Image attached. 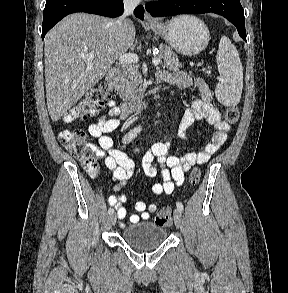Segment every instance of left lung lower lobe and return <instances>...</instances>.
<instances>
[{"mask_svg":"<svg viewBox=\"0 0 288 293\" xmlns=\"http://www.w3.org/2000/svg\"><path fill=\"white\" fill-rule=\"evenodd\" d=\"M145 9L153 17L192 13H216L233 23L246 41L245 17L240 0H160L149 2Z\"/></svg>","mask_w":288,"mask_h":293,"instance_id":"left-lung-lower-lobe-1","label":"left lung lower lobe"}]
</instances>
